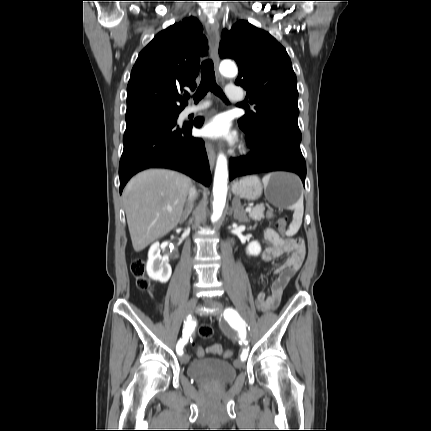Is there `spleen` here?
<instances>
[{
  "label": "spleen",
  "mask_w": 431,
  "mask_h": 431,
  "mask_svg": "<svg viewBox=\"0 0 431 431\" xmlns=\"http://www.w3.org/2000/svg\"><path fill=\"white\" fill-rule=\"evenodd\" d=\"M271 174H268L263 177V183H268L270 179ZM292 209L294 210L293 213V220L289 226V230L287 232L288 235H293L297 233L299 230L301 224H302V218L304 213V206H303V195L300 197V199L292 206Z\"/></svg>",
  "instance_id": "3e777b00"
}]
</instances>
